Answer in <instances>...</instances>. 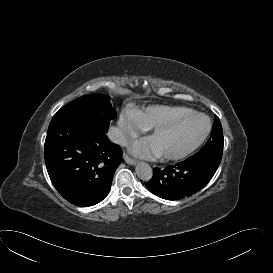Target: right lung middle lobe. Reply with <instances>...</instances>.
Segmentation results:
<instances>
[{
    "label": "right lung middle lobe",
    "instance_id": "right-lung-middle-lobe-1",
    "mask_svg": "<svg viewBox=\"0 0 273 273\" xmlns=\"http://www.w3.org/2000/svg\"><path fill=\"white\" fill-rule=\"evenodd\" d=\"M116 116L110 97L103 94L84 95L61 108L52 122L60 119L107 131L109 123Z\"/></svg>",
    "mask_w": 273,
    "mask_h": 273
}]
</instances>
